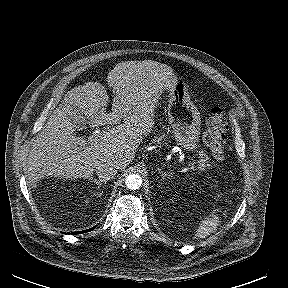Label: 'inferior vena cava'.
<instances>
[{
    "instance_id": "602c4592",
    "label": "inferior vena cava",
    "mask_w": 288,
    "mask_h": 288,
    "mask_svg": "<svg viewBox=\"0 0 288 288\" xmlns=\"http://www.w3.org/2000/svg\"><path fill=\"white\" fill-rule=\"evenodd\" d=\"M118 169L119 166L112 160L99 162L95 167L97 175L104 180L112 179L117 174Z\"/></svg>"
}]
</instances>
